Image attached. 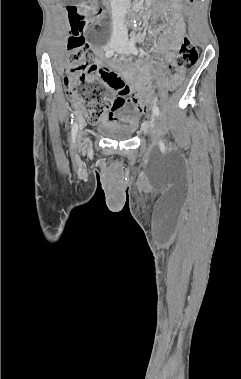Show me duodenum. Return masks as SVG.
Masks as SVG:
<instances>
[{
	"label": "duodenum",
	"instance_id": "1",
	"mask_svg": "<svg viewBox=\"0 0 241 379\" xmlns=\"http://www.w3.org/2000/svg\"><path fill=\"white\" fill-rule=\"evenodd\" d=\"M102 2H103L104 5H107L108 2H109V0H102Z\"/></svg>",
	"mask_w": 241,
	"mask_h": 379
}]
</instances>
